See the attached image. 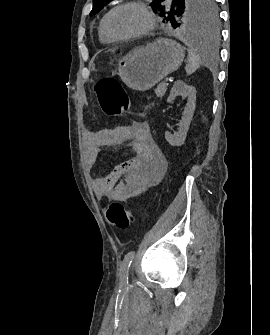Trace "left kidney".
Masks as SVG:
<instances>
[{"label":"left kidney","instance_id":"left-kidney-1","mask_svg":"<svg viewBox=\"0 0 270 335\" xmlns=\"http://www.w3.org/2000/svg\"><path fill=\"white\" fill-rule=\"evenodd\" d=\"M176 96H188V102L186 108H184L178 132H176V134L165 132V140L169 142L170 146H182L186 140L187 132L195 110L196 90L194 86H187L183 80H176L173 88H171L167 102H172V100H175Z\"/></svg>","mask_w":270,"mask_h":335}]
</instances>
